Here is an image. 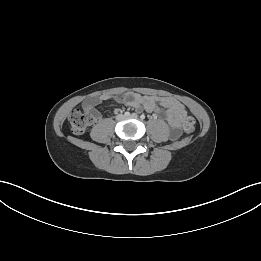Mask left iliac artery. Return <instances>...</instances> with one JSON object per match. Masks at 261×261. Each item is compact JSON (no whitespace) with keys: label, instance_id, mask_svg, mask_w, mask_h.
<instances>
[{"label":"left iliac artery","instance_id":"obj_1","mask_svg":"<svg viewBox=\"0 0 261 261\" xmlns=\"http://www.w3.org/2000/svg\"><path fill=\"white\" fill-rule=\"evenodd\" d=\"M140 118H141L142 120L145 119V115L142 114V115L140 116Z\"/></svg>","mask_w":261,"mask_h":261}]
</instances>
